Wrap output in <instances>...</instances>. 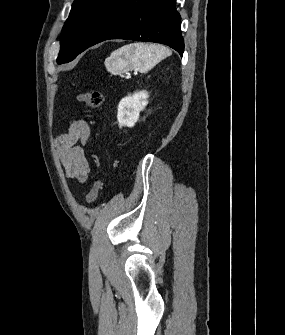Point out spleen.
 Instances as JSON below:
<instances>
[{"label":"spleen","mask_w":285,"mask_h":335,"mask_svg":"<svg viewBox=\"0 0 285 335\" xmlns=\"http://www.w3.org/2000/svg\"><path fill=\"white\" fill-rule=\"evenodd\" d=\"M112 56L115 58L114 70H118L120 66L125 68V60L126 62L130 60V64L136 66L137 70H150L158 62L171 56V50L165 46H156V44H129V46L115 50Z\"/></svg>","instance_id":"1"}]
</instances>
